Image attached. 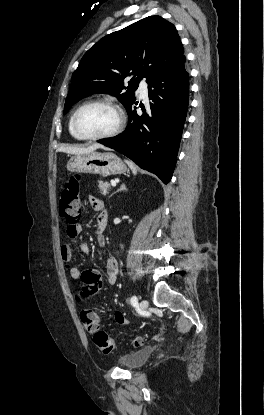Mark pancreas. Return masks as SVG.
I'll list each match as a JSON object with an SVG mask.
<instances>
[{"mask_svg": "<svg viewBox=\"0 0 264 415\" xmlns=\"http://www.w3.org/2000/svg\"><path fill=\"white\" fill-rule=\"evenodd\" d=\"M99 190L100 193L103 195H106L108 191L110 190V184L108 182L99 181Z\"/></svg>", "mask_w": 264, "mask_h": 415, "instance_id": "1", "label": "pancreas"}]
</instances>
